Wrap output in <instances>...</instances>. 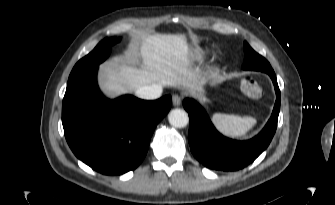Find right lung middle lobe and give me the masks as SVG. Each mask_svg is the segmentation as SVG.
I'll return each instance as SVG.
<instances>
[{
	"mask_svg": "<svg viewBox=\"0 0 335 205\" xmlns=\"http://www.w3.org/2000/svg\"><path fill=\"white\" fill-rule=\"evenodd\" d=\"M120 41V39L115 38H105L103 39L92 52L88 55L80 59L77 64L72 69L69 78L77 75L78 73L89 69L94 66H98L107 57L110 55L111 46L114 45L116 42Z\"/></svg>",
	"mask_w": 335,
	"mask_h": 205,
	"instance_id": "1",
	"label": "right lung middle lobe"
}]
</instances>
